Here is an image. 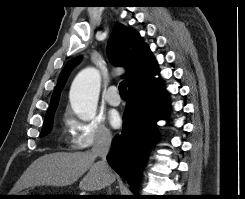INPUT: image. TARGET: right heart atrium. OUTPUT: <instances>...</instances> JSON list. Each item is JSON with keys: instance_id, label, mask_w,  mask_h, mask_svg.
I'll list each match as a JSON object with an SVG mask.
<instances>
[{"instance_id": "right-heart-atrium-1", "label": "right heart atrium", "mask_w": 245, "mask_h": 199, "mask_svg": "<svg viewBox=\"0 0 245 199\" xmlns=\"http://www.w3.org/2000/svg\"><path fill=\"white\" fill-rule=\"evenodd\" d=\"M67 131L70 146L74 150H85L95 145L108 144L112 140L111 131L98 116L87 121L68 116Z\"/></svg>"}]
</instances>
